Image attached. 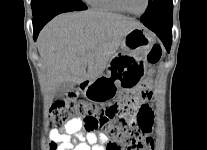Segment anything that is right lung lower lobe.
<instances>
[{
    "label": "right lung lower lobe",
    "mask_w": 207,
    "mask_h": 150,
    "mask_svg": "<svg viewBox=\"0 0 207 150\" xmlns=\"http://www.w3.org/2000/svg\"><path fill=\"white\" fill-rule=\"evenodd\" d=\"M69 11H73V10L65 7H55V8L48 9L37 16H34L33 17L34 40H36L40 30L48 21H50L53 17H55L60 13L69 12Z\"/></svg>",
    "instance_id": "right-lung-lower-lobe-1"
}]
</instances>
